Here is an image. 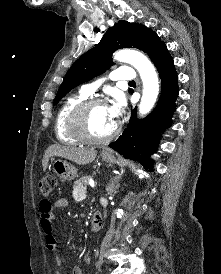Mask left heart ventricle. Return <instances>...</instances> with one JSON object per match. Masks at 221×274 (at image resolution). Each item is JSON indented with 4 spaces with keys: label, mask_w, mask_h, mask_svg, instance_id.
Segmentation results:
<instances>
[{
    "label": "left heart ventricle",
    "mask_w": 221,
    "mask_h": 274,
    "mask_svg": "<svg viewBox=\"0 0 221 274\" xmlns=\"http://www.w3.org/2000/svg\"><path fill=\"white\" fill-rule=\"evenodd\" d=\"M87 126L89 132L94 136L107 135L115 126V122L110 118L108 106L94 107L88 115Z\"/></svg>",
    "instance_id": "left-heart-ventricle-1"
}]
</instances>
